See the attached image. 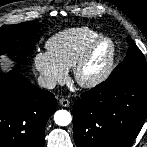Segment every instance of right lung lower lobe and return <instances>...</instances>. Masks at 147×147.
Returning a JSON list of instances; mask_svg holds the SVG:
<instances>
[{
	"label": "right lung lower lobe",
	"mask_w": 147,
	"mask_h": 147,
	"mask_svg": "<svg viewBox=\"0 0 147 147\" xmlns=\"http://www.w3.org/2000/svg\"><path fill=\"white\" fill-rule=\"evenodd\" d=\"M55 97L14 69H0V147H43Z\"/></svg>",
	"instance_id": "right-lung-lower-lobe-1"
}]
</instances>
